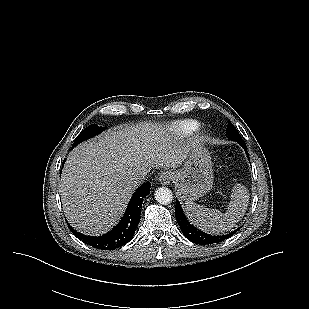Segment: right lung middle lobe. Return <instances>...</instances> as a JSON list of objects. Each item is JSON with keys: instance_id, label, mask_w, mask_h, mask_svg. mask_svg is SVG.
<instances>
[{"instance_id": "right-lung-middle-lobe-1", "label": "right lung middle lobe", "mask_w": 309, "mask_h": 309, "mask_svg": "<svg viewBox=\"0 0 309 309\" xmlns=\"http://www.w3.org/2000/svg\"><path fill=\"white\" fill-rule=\"evenodd\" d=\"M103 129H104L103 127L97 126L96 124L89 125L76 137L72 147L76 146L80 142L85 141L86 139H89L99 134L100 132L103 131Z\"/></svg>"}]
</instances>
